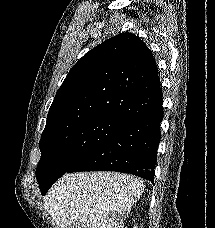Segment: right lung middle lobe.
<instances>
[{
    "mask_svg": "<svg viewBox=\"0 0 215 228\" xmlns=\"http://www.w3.org/2000/svg\"><path fill=\"white\" fill-rule=\"evenodd\" d=\"M126 120L96 116L41 135L36 178L42 195L52 184Z\"/></svg>",
    "mask_w": 215,
    "mask_h": 228,
    "instance_id": "dd1d6c3e",
    "label": "right lung middle lobe"
}]
</instances>
